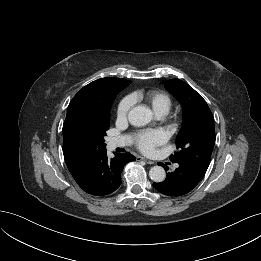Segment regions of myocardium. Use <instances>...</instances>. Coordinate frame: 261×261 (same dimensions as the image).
Returning <instances> with one entry per match:
<instances>
[{
  "label": "myocardium",
  "instance_id": "myocardium-1",
  "mask_svg": "<svg viewBox=\"0 0 261 261\" xmlns=\"http://www.w3.org/2000/svg\"><path fill=\"white\" fill-rule=\"evenodd\" d=\"M165 116L166 121L171 127H176L180 122V115L178 112H168Z\"/></svg>",
  "mask_w": 261,
  "mask_h": 261
}]
</instances>
